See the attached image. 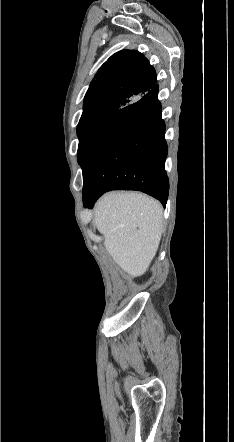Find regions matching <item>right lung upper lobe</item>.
<instances>
[{
  "instance_id": "right-lung-upper-lobe-1",
  "label": "right lung upper lobe",
  "mask_w": 234,
  "mask_h": 442,
  "mask_svg": "<svg viewBox=\"0 0 234 442\" xmlns=\"http://www.w3.org/2000/svg\"><path fill=\"white\" fill-rule=\"evenodd\" d=\"M155 69L138 51L113 54L96 73L84 98L81 119L118 112L156 85Z\"/></svg>"
}]
</instances>
